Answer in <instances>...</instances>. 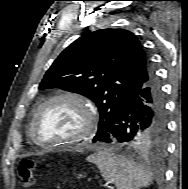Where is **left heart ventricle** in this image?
I'll use <instances>...</instances> for the list:
<instances>
[{
	"instance_id": "obj_1",
	"label": "left heart ventricle",
	"mask_w": 188,
	"mask_h": 189,
	"mask_svg": "<svg viewBox=\"0 0 188 189\" xmlns=\"http://www.w3.org/2000/svg\"><path fill=\"white\" fill-rule=\"evenodd\" d=\"M84 125L82 109L74 102L60 100L50 104L37 122V137L53 142L75 136Z\"/></svg>"
}]
</instances>
